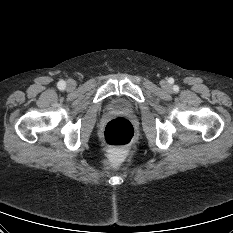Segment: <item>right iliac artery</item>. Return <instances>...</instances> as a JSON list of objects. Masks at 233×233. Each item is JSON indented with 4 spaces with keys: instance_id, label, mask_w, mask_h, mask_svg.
<instances>
[{
    "instance_id": "1",
    "label": "right iliac artery",
    "mask_w": 233,
    "mask_h": 233,
    "mask_svg": "<svg viewBox=\"0 0 233 233\" xmlns=\"http://www.w3.org/2000/svg\"><path fill=\"white\" fill-rule=\"evenodd\" d=\"M57 86L59 89L63 90L66 87V83H65V81L61 80L58 82Z\"/></svg>"
}]
</instances>
